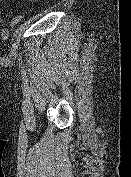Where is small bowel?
<instances>
[{
	"label": "small bowel",
	"instance_id": "1",
	"mask_svg": "<svg viewBox=\"0 0 131 177\" xmlns=\"http://www.w3.org/2000/svg\"><path fill=\"white\" fill-rule=\"evenodd\" d=\"M28 1L31 2V3H38L41 0H28ZM3 2H4V0H0V3H3Z\"/></svg>",
	"mask_w": 131,
	"mask_h": 177
}]
</instances>
